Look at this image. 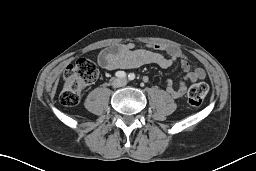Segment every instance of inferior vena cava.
Instances as JSON below:
<instances>
[{"label": "inferior vena cava", "mask_w": 256, "mask_h": 171, "mask_svg": "<svg viewBox=\"0 0 256 171\" xmlns=\"http://www.w3.org/2000/svg\"><path fill=\"white\" fill-rule=\"evenodd\" d=\"M127 81L125 79H117L114 83V87H122L125 86Z\"/></svg>", "instance_id": "obj_1"}]
</instances>
